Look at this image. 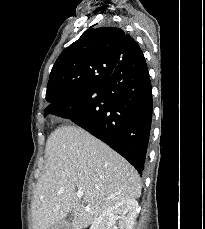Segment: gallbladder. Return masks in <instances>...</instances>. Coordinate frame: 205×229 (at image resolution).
Returning a JSON list of instances; mask_svg holds the SVG:
<instances>
[{
  "label": "gallbladder",
  "mask_w": 205,
  "mask_h": 229,
  "mask_svg": "<svg viewBox=\"0 0 205 229\" xmlns=\"http://www.w3.org/2000/svg\"><path fill=\"white\" fill-rule=\"evenodd\" d=\"M73 221V213H69L65 218L60 220L55 225L51 226L49 229H71V223Z\"/></svg>",
  "instance_id": "1"
}]
</instances>
